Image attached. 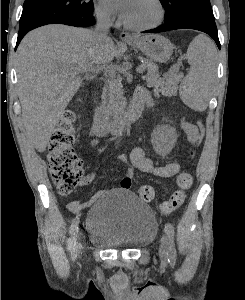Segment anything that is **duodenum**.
Instances as JSON below:
<instances>
[{"instance_id":"1","label":"duodenum","mask_w":245,"mask_h":300,"mask_svg":"<svg viewBox=\"0 0 245 300\" xmlns=\"http://www.w3.org/2000/svg\"><path fill=\"white\" fill-rule=\"evenodd\" d=\"M149 102L150 99L146 93L138 92L134 96L131 106L123 115L111 118L100 102L95 100L93 108L95 124L106 130L108 133L116 134L138 120L144 106L149 104Z\"/></svg>"}]
</instances>
